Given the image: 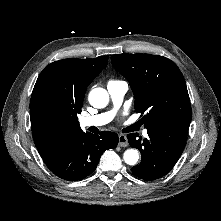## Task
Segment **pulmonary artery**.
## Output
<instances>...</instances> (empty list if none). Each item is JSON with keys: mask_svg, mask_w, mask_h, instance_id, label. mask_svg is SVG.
Listing matches in <instances>:
<instances>
[{"mask_svg": "<svg viewBox=\"0 0 221 221\" xmlns=\"http://www.w3.org/2000/svg\"><path fill=\"white\" fill-rule=\"evenodd\" d=\"M107 90L113 102L114 109L95 116L83 117L80 120L81 126L99 127L109 123L113 119L116 109L122 104L123 98L128 90V84L125 81H110L107 84ZM143 135L145 137L148 136L146 130L143 131Z\"/></svg>", "mask_w": 221, "mask_h": 221, "instance_id": "e3ab8cb5", "label": "pulmonary artery"}]
</instances>
